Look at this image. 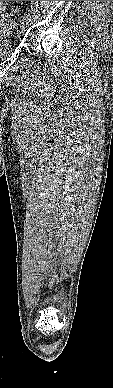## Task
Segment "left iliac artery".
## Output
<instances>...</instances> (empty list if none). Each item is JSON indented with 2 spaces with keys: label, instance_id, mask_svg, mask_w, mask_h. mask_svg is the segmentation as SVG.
<instances>
[{
  "label": "left iliac artery",
  "instance_id": "left-iliac-artery-1",
  "mask_svg": "<svg viewBox=\"0 0 113 388\" xmlns=\"http://www.w3.org/2000/svg\"><path fill=\"white\" fill-rule=\"evenodd\" d=\"M24 18H27V19H29V16L28 15H26ZM30 20V19H29Z\"/></svg>",
  "mask_w": 113,
  "mask_h": 388
}]
</instances>
